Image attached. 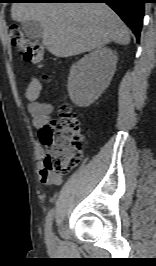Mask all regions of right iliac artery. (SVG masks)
<instances>
[{
  "instance_id": "1",
  "label": "right iliac artery",
  "mask_w": 156,
  "mask_h": 266,
  "mask_svg": "<svg viewBox=\"0 0 156 266\" xmlns=\"http://www.w3.org/2000/svg\"><path fill=\"white\" fill-rule=\"evenodd\" d=\"M53 215H54V210L51 209L48 212V215L46 217V224H45V233H46V238L49 239L51 233V227H52V220H53Z\"/></svg>"
}]
</instances>
